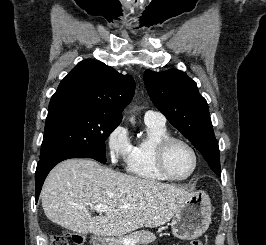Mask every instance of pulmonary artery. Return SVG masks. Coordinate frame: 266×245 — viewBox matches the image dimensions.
Returning <instances> with one entry per match:
<instances>
[{
    "label": "pulmonary artery",
    "instance_id": "pulmonary-artery-1",
    "mask_svg": "<svg viewBox=\"0 0 266 245\" xmlns=\"http://www.w3.org/2000/svg\"><path fill=\"white\" fill-rule=\"evenodd\" d=\"M144 121L145 122H160L166 123V117L159 111L156 110H147L144 113Z\"/></svg>",
    "mask_w": 266,
    "mask_h": 245
}]
</instances>
